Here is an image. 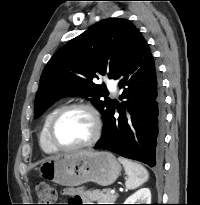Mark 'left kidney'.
Instances as JSON below:
<instances>
[{
	"label": "left kidney",
	"mask_w": 200,
	"mask_h": 205,
	"mask_svg": "<svg viewBox=\"0 0 200 205\" xmlns=\"http://www.w3.org/2000/svg\"><path fill=\"white\" fill-rule=\"evenodd\" d=\"M124 204H151V192L149 188H141L128 197Z\"/></svg>",
	"instance_id": "1"
}]
</instances>
